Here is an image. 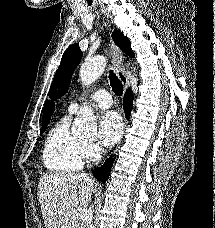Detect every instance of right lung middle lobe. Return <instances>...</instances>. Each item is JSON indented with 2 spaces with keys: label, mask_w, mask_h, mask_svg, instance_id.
I'll use <instances>...</instances> for the list:
<instances>
[{
  "label": "right lung middle lobe",
  "mask_w": 215,
  "mask_h": 228,
  "mask_svg": "<svg viewBox=\"0 0 215 228\" xmlns=\"http://www.w3.org/2000/svg\"><path fill=\"white\" fill-rule=\"evenodd\" d=\"M47 124L48 123L42 124V128L40 130V134H42L45 131Z\"/></svg>",
  "instance_id": "dd1d6c3e"
}]
</instances>
